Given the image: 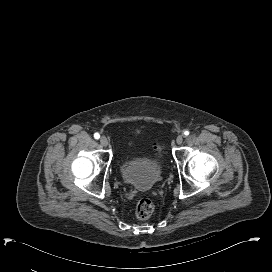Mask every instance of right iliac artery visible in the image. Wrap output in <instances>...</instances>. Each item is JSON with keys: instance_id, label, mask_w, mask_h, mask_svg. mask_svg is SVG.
<instances>
[{"instance_id": "1", "label": "right iliac artery", "mask_w": 272, "mask_h": 272, "mask_svg": "<svg viewBox=\"0 0 272 272\" xmlns=\"http://www.w3.org/2000/svg\"><path fill=\"white\" fill-rule=\"evenodd\" d=\"M94 138H95V139H99V138H100L99 133H95V134H94Z\"/></svg>"}]
</instances>
